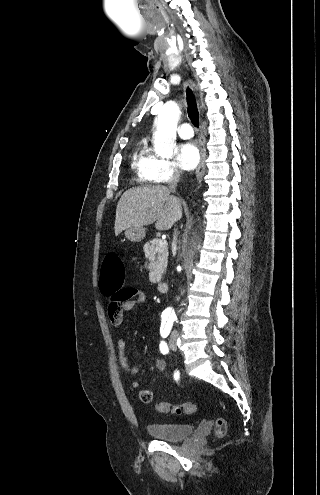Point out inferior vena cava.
<instances>
[{
  "label": "inferior vena cava",
  "instance_id": "602c4592",
  "mask_svg": "<svg viewBox=\"0 0 320 495\" xmlns=\"http://www.w3.org/2000/svg\"><path fill=\"white\" fill-rule=\"evenodd\" d=\"M180 175H181V171L178 169H175L173 176L171 177V179L169 181V189L172 192H175V190H176L177 184H178L179 179H180ZM176 242H177V229L174 230V237H173V243L176 244Z\"/></svg>",
  "mask_w": 320,
  "mask_h": 495
}]
</instances>
